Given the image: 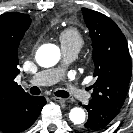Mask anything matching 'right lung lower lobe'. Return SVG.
Wrapping results in <instances>:
<instances>
[{
	"instance_id": "98d812e1",
	"label": "right lung lower lobe",
	"mask_w": 133,
	"mask_h": 133,
	"mask_svg": "<svg viewBox=\"0 0 133 133\" xmlns=\"http://www.w3.org/2000/svg\"><path fill=\"white\" fill-rule=\"evenodd\" d=\"M45 104L44 97L29 94L17 99L0 117V130L4 133H19L28 129L38 118Z\"/></svg>"
}]
</instances>
